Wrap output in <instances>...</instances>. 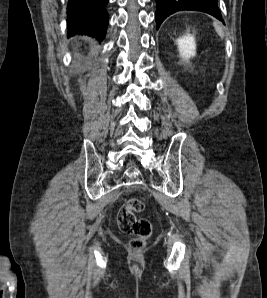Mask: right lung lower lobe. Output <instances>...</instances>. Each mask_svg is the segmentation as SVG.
<instances>
[{
  "label": "right lung lower lobe",
  "instance_id": "right-lung-lower-lobe-1",
  "mask_svg": "<svg viewBox=\"0 0 267 298\" xmlns=\"http://www.w3.org/2000/svg\"><path fill=\"white\" fill-rule=\"evenodd\" d=\"M109 0H69L67 6L68 36L88 35L102 41L105 37Z\"/></svg>",
  "mask_w": 267,
  "mask_h": 298
}]
</instances>
